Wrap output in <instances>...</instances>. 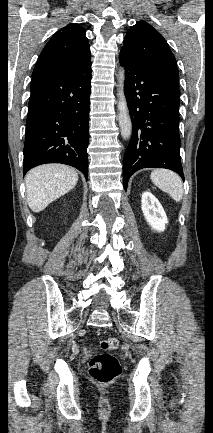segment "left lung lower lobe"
Wrapping results in <instances>:
<instances>
[{
  "instance_id": "obj_1",
  "label": "left lung lower lobe",
  "mask_w": 213,
  "mask_h": 433,
  "mask_svg": "<svg viewBox=\"0 0 213 433\" xmlns=\"http://www.w3.org/2000/svg\"><path fill=\"white\" fill-rule=\"evenodd\" d=\"M132 138L123 159V184L142 168H167L184 180L180 159L179 86L143 69L120 52Z\"/></svg>"
}]
</instances>
